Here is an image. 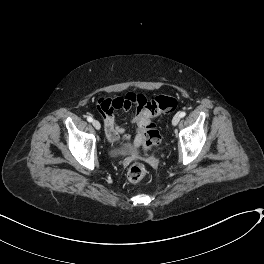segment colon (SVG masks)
Segmentation results:
<instances>
[{
	"label": "colon",
	"mask_w": 264,
	"mask_h": 264,
	"mask_svg": "<svg viewBox=\"0 0 264 264\" xmlns=\"http://www.w3.org/2000/svg\"><path fill=\"white\" fill-rule=\"evenodd\" d=\"M177 107V99L171 96H157L144 106V116L141 123L142 143L147 152L160 143V134L156 129L154 118L162 113L173 111ZM146 174V168L141 162H134L128 170L130 182L140 181Z\"/></svg>",
	"instance_id": "obj_1"
}]
</instances>
